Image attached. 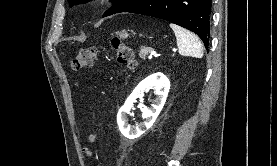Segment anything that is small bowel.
<instances>
[{
  "mask_svg": "<svg viewBox=\"0 0 277 166\" xmlns=\"http://www.w3.org/2000/svg\"><path fill=\"white\" fill-rule=\"evenodd\" d=\"M95 140H96V134L95 133H91L88 136V142L89 143H93V142H95ZM84 152L89 157L92 155V152L88 148H84Z\"/></svg>",
  "mask_w": 277,
  "mask_h": 166,
  "instance_id": "small-bowel-1",
  "label": "small bowel"
}]
</instances>
